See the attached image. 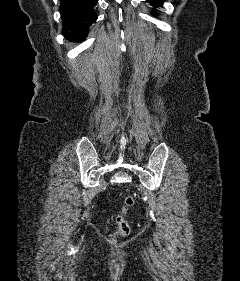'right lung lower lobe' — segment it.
<instances>
[{"label":"right lung lower lobe","instance_id":"right-lung-lower-lobe-1","mask_svg":"<svg viewBox=\"0 0 240 281\" xmlns=\"http://www.w3.org/2000/svg\"><path fill=\"white\" fill-rule=\"evenodd\" d=\"M98 0H61L60 11L64 20L65 37L70 41H81L89 27L97 20L94 6Z\"/></svg>","mask_w":240,"mask_h":281}]
</instances>
